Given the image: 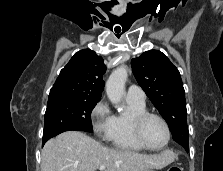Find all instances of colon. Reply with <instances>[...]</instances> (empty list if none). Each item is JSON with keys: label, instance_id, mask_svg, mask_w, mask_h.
Returning a JSON list of instances; mask_svg holds the SVG:
<instances>
[{"label": "colon", "instance_id": "colon-1", "mask_svg": "<svg viewBox=\"0 0 223 171\" xmlns=\"http://www.w3.org/2000/svg\"><path fill=\"white\" fill-rule=\"evenodd\" d=\"M168 171H182V170H181V168H179L177 166H173Z\"/></svg>", "mask_w": 223, "mask_h": 171}]
</instances>
